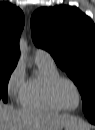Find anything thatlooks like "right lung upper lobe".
<instances>
[{"label": "right lung upper lobe", "instance_id": "obj_1", "mask_svg": "<svg viewBox=\"0 0 95 130\" xmlns=\"http://www.w3.org/2000/svg\"><path fill=\"white\" fill-rule=\"evenodd\" d=\"M24 23V15L19 8L0 4V65H17L18 42Z\"/></svg>", "mask_w": 95, "mask_h": 130}]
</instances>
